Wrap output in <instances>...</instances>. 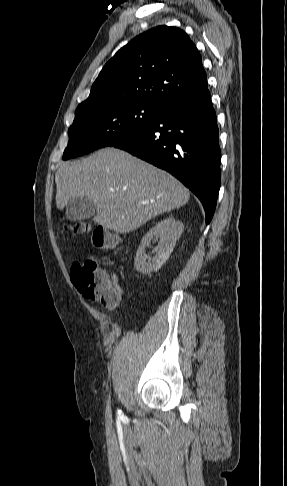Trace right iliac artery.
Returning <instances> with one entry per match:
<instances>
[{
	"mask_svg": "<svg viewBox=\"0 0 287 486\" xmlns=\"http://www.w3.org/2000/svg\"><path fill=\"white\" fill-rule=\"evenodd\" d=\"M118 414L121 415V411L120 410H118Z\"/></svg>",
	"mask_w": 287,
	"mask_h": 486,
	"instance_id": "1",
	"label": "right iliac artery"
}]
</instances>
